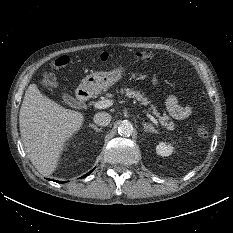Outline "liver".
Masks as SVG:
<instances>
[{"instance_id":"liver-1","label":"liver","mask_w":233,"mask_h":233,"mask_svg":"<svg viewBox=\"0 0 233 233\" xmlns=\"http://www.w3.org/2000/svg\"><path fill=\"white\" fill-rule=\"evenodd\" d=\"M83 122L81 112L46 97L36 84L28 86L19 113L20 134L28 158L41 174L55 171L66 141Z\"/></svg>"}]
</instances>
